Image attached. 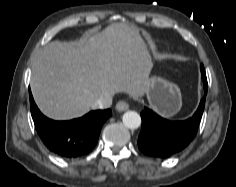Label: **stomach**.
I'll use <instances>...</instances> for the list:
<instances>
[{
	"instance_id": "obj_1",
	"label": "stomach",
	"mask_w": 236,
	"mask_h": 187,
	"mask_svg": "<svg viewBox=\"0 0 236 187\" xmlns=\"http://www.w3.org/2000/svg\"><path fill=\"white\" fill-rule=\"evenodd\" d=\"M146 96L151 108L165 117L175 115L182 105L179 87L161 77L149 79Z\"/></svg>"
}]
</instances>
